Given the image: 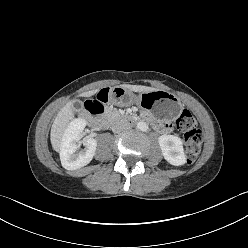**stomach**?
Instances as JSON below:
<instances>
[{
  "instance_id": "stomach-1",
  "label": "stomach",
  "mask_w": 248,
  "mask_h": 248,
  "mask_svg": "<svg viewBox=\"0 0 248 248\" xmlns=\"http://www.w3.org/2000/svg\"><path fill=\"white\" fill-rule=\"evenodd\" d=\"M114 96L117 104L122 106H127L137 99L138 105L157 119L172 120L178 116L181 110L180 100L163 90L144 92L137 98L129 89L121 86L114 90Z\"/></svg>"
}]
</instances>
